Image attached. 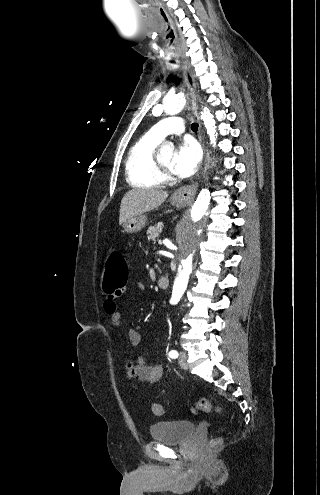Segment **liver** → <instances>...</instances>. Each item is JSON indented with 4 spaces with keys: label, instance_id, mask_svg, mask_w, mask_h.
Returning a JSON list of instances; mask_svg holds the SVG:
<instances>
[{
    "label": "liver",
    "instance_id": "liver-1",
    "mask_svg": "<svg viewBox=\"0 0 320 495\" xmlns=\"http://www.w3.org/2000/svg\"><path fill=\"white\" fill-rule=\"evenodd\" d=\"M168 193L154 189H133L128 191L121 200L119 224L136 215L149 212L161 206Z\"/></svg>",
    "mask_w": 320,
    "mask_h": 495
}]
</instances>
